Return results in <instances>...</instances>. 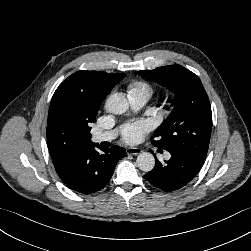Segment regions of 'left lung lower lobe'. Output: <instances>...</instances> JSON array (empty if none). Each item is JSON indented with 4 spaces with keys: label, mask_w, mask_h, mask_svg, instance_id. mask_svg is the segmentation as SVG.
Here are the masks:
<instances>
[{
    "label": "left lung lower lobe",
    "mask_w": 251,
    "mask_h": 251,
    "mask_svg": "<svg viewBox=\"0 0 251 251\" xmlns=\"http://www.w3.org/2000/svg\"><path fill=\"white\" fill-rule=\"evenodd\" d=\"M169 152L171 158L168 161L162 164L157 160L154 169L144 176L150 184L165 192L185 187L198 174L204 163V159L187 150Z\"/></svg>",
    "instance_id": "0a47b994"
}]
</instances>
